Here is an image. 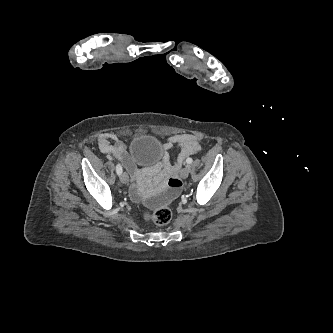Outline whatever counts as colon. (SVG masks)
Wrapping results in <instances>:
<instances>
[{"label": "colon", "instance_id": "5ec220e1", "mask_svg": "<svg viewBox=\"0 0 333 333\" xmlns=\"http://www.w3.org/2000/svg\"><path fill=\"white\" fill-rule=\"evenodd\" d=\"M144 218L156 225H165L170 222L172 213L169 207L163 206L144 212Z\"/></svg>", "mask_w": 333, "mask_h": 333}]
</instances>
